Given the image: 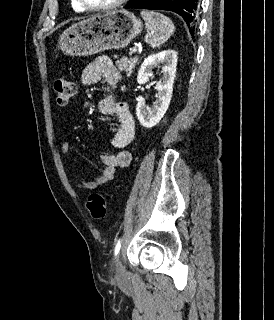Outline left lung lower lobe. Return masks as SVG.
I'll use <instances>...</instances> for the list:
<instances>
[{
	"label": "left lung lower lobe",
	"mask_w": 274,
	"mask_h": 320,
	"mask_svg": "<svg viewBox=\"0 0 274 320\" xmlns=\"http://www.w3.org/2000/svg\"><path fill=\"white\" fill-rule=\"evenodd\" d=\"M199 0H130L124 8L169 10L183 17L188 26L196 22Z\"/></svg>",
	"instance_id": "0a47b994"
}]
</instances>
